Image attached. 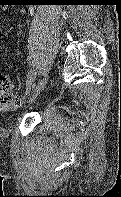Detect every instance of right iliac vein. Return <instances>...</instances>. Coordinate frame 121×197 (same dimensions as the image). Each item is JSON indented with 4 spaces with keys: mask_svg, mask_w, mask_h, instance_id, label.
I'll list each match as a JSON object with an SVG mask.
<instances>
[{
    "mask_svg": "<svg viewBox=\"0 0 121 197\" xmlns=\"http://www.w3.org/2000/svg\"><path fill=\"white\" fill-rule=\"evenodd\" d=\"M47 80L48 78L45 77L43 80H41V82L37 85V87L35 88L34 93L32 94V96L30 97L28 102H32L39 94L40 92L44 89V87L47 84Z\"/></svg>",
    "mask_w": 121,
    "mask_h": 197,
    "instance_id": "63e3f726",
    "label": "right iliac vein"
}]
</instances>
